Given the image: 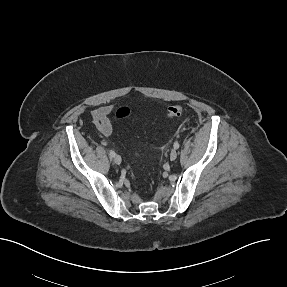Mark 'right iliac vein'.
<instances>
[{
  "label": "right iliac vein",
  "mask_w": 287,
  "mask_h": 287,
  "mask_svg": "<svg viewBox=\"0 0 287 287\" xmlns=\"http://www.w3.org/2000/svg\"><path fill=\"white\" fill-rule=\"evenodd\" d=\"M121 161H122V159H121V157L119 156V155H116L115 157H114V162L116 163V164H121Z\"/></svg>",
  "instance_id": "obj_1"
}]
</instances>
